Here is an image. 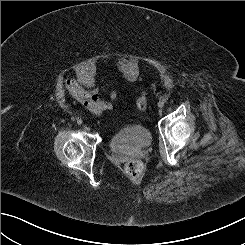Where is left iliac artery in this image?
Listing matches in <instances>:
<instances>
[{
	"mask_svg": "<svg viewBox=\"0 0 245 245\" xmlns=\"http://www.w3.org/2000/svg\"><path fill=\"white\" fill-rule=\"evenodd\" d=\"M167 100H168V99H167L166 97H164V98L162 99L163 103H166Z\"/></svg>",
	"mask_w": 245,
	"mask_h": 245,
	"instance_id": "1",
	"label": "left iliac artery"
}]
</instances>
